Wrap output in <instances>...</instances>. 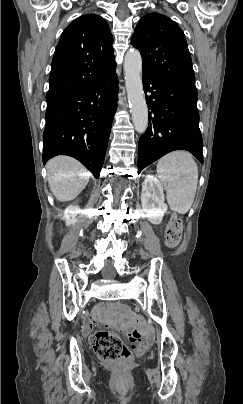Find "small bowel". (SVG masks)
<instances>
[{
    "label": "small bowel",
    "instance_id": "c3829d8e",
    "mask_svg": "<svg viewBox=\"0 0 243 404\" xmlns=\"http://www.w3.org/2000/svg\"><path fill=\"white\" fill-rule=\"evenodd\" d=\"M96 317H97V314H95L93 317H91L90 319H88L86 322H85V324H84V332L85 333H90L91 332V330H92V328H93V325H94V323H95V321H96Z\"/></svg>",
    "mask_w": 243,
    "mask_h": 404
}]
</instances>
